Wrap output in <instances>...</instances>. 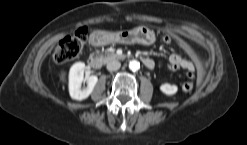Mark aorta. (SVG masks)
<instances>
[{
  "label": "aorta",
  "instance_id": "1",
  "mask_svg": "<svg viewBox=\"0 0 247 145\" xmlns=\"http://www.w3.org/2000/svg\"><path fill=\"white\" fill-rule=\"evenodd\" d=\"M140 68V63L137 60H132L129 62V69L132 71H137Z\"/></svg>",
  "mask_w": 247,
  "mask_h": 145
}]
</instances>
